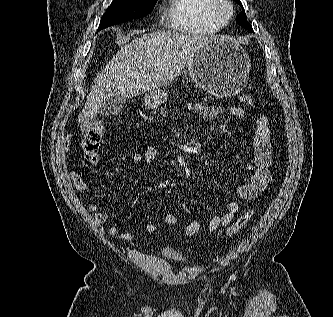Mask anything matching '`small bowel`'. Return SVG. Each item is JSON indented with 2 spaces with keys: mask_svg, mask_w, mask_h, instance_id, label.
<instances>
[{
  "mask_svg": "<svg viewBox=\"0 0 333 317\" xmlns=\"http://www.w3.org/2000/svg\"><path fill=\"white\" fill-rule=\"evenodd\" d=\"M187 108L196 111L199 115L207 119H213L224 112L219 106L204 105L200 103H189ZM229 112L237 117L243 118L244 112L237 106L229 108ZM71 138H67L65 147L71 145ZM272 145L270 142L269 121L265 116H258L254 123L253 138V158L247 166V171L251 173L249 181L242 183L236 189L238 197L242 200H252L257 197L258 193L264 191L271 182L272 176L269 170L272 164ZM159 155V149L155 146L148 147L143 152H136L132 155V161L139 164H151ZM93 162H98V155L95 154ZM68 177L74 188L79 192H87L89 187L84 182L80 174L75 170L68 171ZM89 208L97 223L103 224L107 221L108 215L98 205L91 203ZM225 214H215L207 225V230L213 232L220 227H225L234 219L235 215L240 211V204L237 201H228L225 203ZM162 220L169 226L176 224V218L173 214H165ZM201 222L194 220L184 227V234L192 236L201 229ZM147 233L152 234L156 231V226L148 222L145 225ZM108 234L116 237L120 241H130L134 238L131 232H121L117 225H111Z\"/></svg>",
  "mask_w": 333,
  "mask_h": 317,
  "instance_id": "obj_1",
  "label": "small bowel"
}]
</instances>
